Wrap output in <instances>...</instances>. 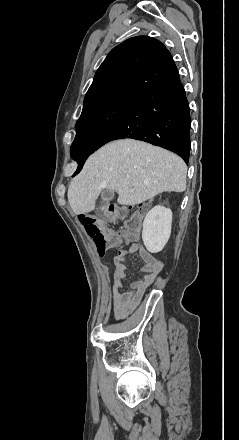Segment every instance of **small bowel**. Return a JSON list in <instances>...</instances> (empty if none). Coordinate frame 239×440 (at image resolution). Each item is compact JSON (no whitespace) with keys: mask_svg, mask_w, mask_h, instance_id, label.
Listing matches in <instances>:
<instances>
[{"mask_svg":"<svg viewBox=\"0 0 239 440\" xmlns=\"http://www.w3.org/2000/svg\"><path fill=\"white\" fill-rule=\"evenodd\" d=\"M139 251L144 265L143 275L137 281L131 283L128 291L122 292L124 279L127 277L128 269L125 264L127 257ZM115 272L113 285L114 314L117 318H123L140 302L146 289L154 282L160 274L163 264L156 259L144 247L132 243L128 249L120 250L114 257Z\"/></svg>","mask_w":239,"mask_h":440,"instance_id":"small-bowel-1","label":"small bowel"}]
</instances>
